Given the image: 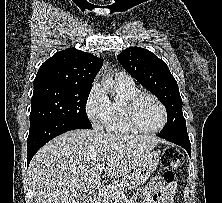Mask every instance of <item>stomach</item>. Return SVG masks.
Returning a JSON list of instances; mask_svg holds the SVG:
<instances>
[{"label": "stomach", "instance_id": "obj_1", "mask_svg": "<svg viewBox=\"0 0 222 203\" xmlns=\"http://www.w3.org/2000/svg\"><path fill=\"white\" fill-rule=\"evenodd\" d=\"M159 151H150L144 161L123 179L124 188L131 190L142 185L153 173L159 162Z\"/></svg>", "mask_w": 222, "mask_h": 203}]
</instances>
